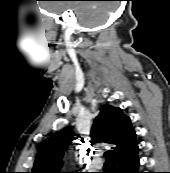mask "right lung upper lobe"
<instances>
[{
    "label": "right lung upper lobe",
    "instance_id": "cb5924a9",
    "mask_svg": "<svg viewBox=\"0 0 170 173\" xmlns=\"http://www.w3.org/2000/svg\"><path fill=\"white\" fill-rule=\"evenodd\" d=\"M90 135L96 141L115 145L113 157L137 144L130 118L124 115L122 109L111 105L100 110ZM75 136L79 137L68 127L44 141L38 150L31 173H60L63 153L72 141L77 139Z\"/></svg>",
    "mask_w": 170,
    "mask_h": 173
}]
</instances>
